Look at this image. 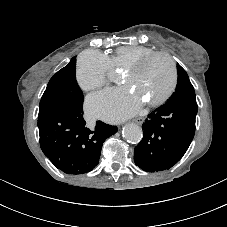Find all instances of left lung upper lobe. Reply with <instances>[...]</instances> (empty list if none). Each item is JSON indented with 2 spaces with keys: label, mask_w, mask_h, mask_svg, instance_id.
Returning a JSON list of instances; mask_svg holds the SVG:
<instances>
[{
  "label": "left lung upper lobe",
  "mask_w": 227,
  "mask_h": 227,
  "mask_svg": "<svg viewBox=\"0 0 227 227\" xmlns=\"http://www.w3.org/2000/svg\"><path fill=\"white\" fill-rule=\"evenodd\" d=\"M178 69V82L175 92L172 94L168 101L183 100V101H196L194 88L189 80L186 71L180 66Z\"/></svg>",
  "instance_id": "obj_1"
}]
</instances>
